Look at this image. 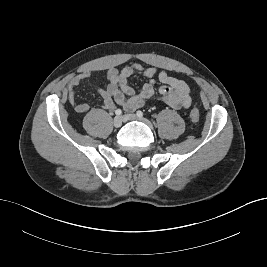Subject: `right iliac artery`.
I'll use <instances>...</instances> for the list:
<instances>
[{"label":"right iliac artery","instance_id":"82829eb1","mask_svg":"<svg viewBox=\"0 0 267 267\" xmlns=\"http://www.w3.org/2000/svg\"><path fill=\"white\" fill-rule=\"evenodd\" d=\"M115 114L118 115V116L121 115V114H122V110H121V109H117V110L115 111Z\"/></svg>","mask_w":267,"mask_h":267}]
</instances>
